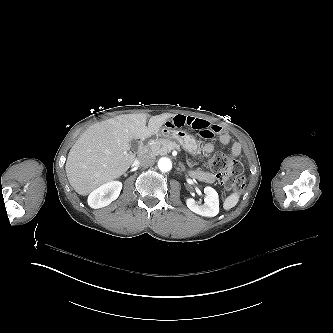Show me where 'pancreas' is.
Here are the masks:
<instances>
[{
  "label": "pancreas",
  "instance_id": "obj_1",
  "mask_svg": "<svg viewBox=\"0 0 333 333\" xmlns=\"http://www.w3.org/2000/svg\"><path fill=\"white\" fill-rule=\"evenodd\" d=\"M176 146V142L170 138L161 137L149 146L148 154L151 156L165 155Z\"/></svg>",
  "mask_w": 333,
  "mask_h": 333
}]
</instances>
